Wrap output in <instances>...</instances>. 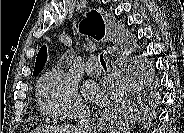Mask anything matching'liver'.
<instances>
[{
	"mask_svg": "<svg viewBox=\"0 0 184 133\" xmlns=\"http://www.w3.org/2000/svg\"><path fill=\"white\" fill-rule=\"evenodd\" d=\"M35 133H77L75 127H41L37 128Z\"/></svg>",
	"mask_w": 184,
	"mask_h": 133,
	"instance_id": "6515ba94",
	"label": "liver"
}]
</instances>
